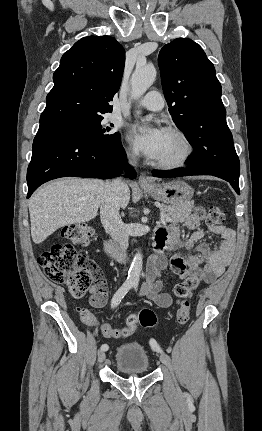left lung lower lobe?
Masks as SVG:
<instances>
[{
  "instance_id": "0a47b994",
  "label": "left lung lower lobe",
  "mask_w": 262,
  "mask_h": 431,
  "mask_svg": "<svg viewBox=\"0 0 262 431\" xmlns=\"http://www.w3.org/2000/svg\"><path fill=\"white\" fill-rule=\"evenodd\" d=\"M152 175L155 177H179V176H191V175H209L205 172L193 169L191 167L175 170V171H163V170H153ZM214 176V175H213ZM217 177H220L228 182H230L231 186L234 188V190L237 192V194H240L239 189V179H231L224 175H219Z\"/></svg>"
}]
</instances>
